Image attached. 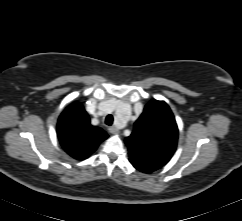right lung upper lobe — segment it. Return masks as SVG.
Returning a JSON list of instances; mask_svg holds the SVG:
<instances>
[{
	"mask_svg": "<svg viewBox=\"0 0 242 221\" xmlns=\"http://www.w3.org/2000/svg\"><path fill=\"white\" fill-rule=\"evenodd\" d=\"M57 135L64 150L73 158L89 157L108 135L99 127L92 126L84 108L69 105L60 115Z\"/></svg>",
	"mask_w": 242,
	"mask_h": 221,
	"instance_id": "cb5924a9",
	"label": "right lung upper lobe"
}]
</instances>
